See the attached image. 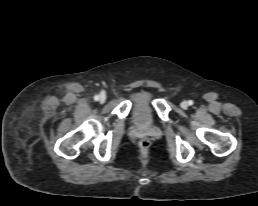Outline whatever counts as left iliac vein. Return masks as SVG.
I'll return each mask as SVG.
<instances>
[{"mask_svg": "<svg viewBox=\"0 0 258 206\" xmlns=\"http://www.w3.org/2000/svg\"><path fill=\"white\" fill-rule=\"evenodd\" d=\"M181 107L183 108V109H186L187 107H188V102L187 101H183V102H181Z\"/></svg>", "mask_w": 258, "mask_h": 206, "instance_id": "1", "label": "left iliac vein"}]
</instances>
